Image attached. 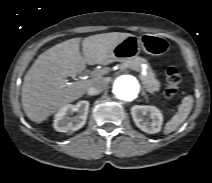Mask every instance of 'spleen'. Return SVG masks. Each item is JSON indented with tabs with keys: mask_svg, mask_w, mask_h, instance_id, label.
I'll use <instances>...</instances> for the list:
<instances>
[{
	"mask_svg": "<svg viewBox=\"0 0 212 183\" xmlns=\"http://www.w3.org/2000/svg\"><path fill=\"white\" fill-rule=\"evenodd\" d=\"M193 97L188 95L182 99V103L178 108V112L168 121L164 127V134L175 131L188 117L193 106Z\"/></svg>",
	"mask_w": 212,
	"mask_h": 183,
	"instance_id": "3e777b00",
	"label": "spleen"
}]
</instances>
